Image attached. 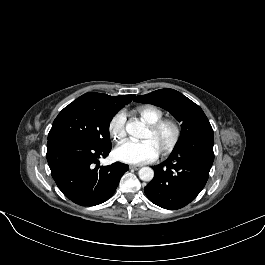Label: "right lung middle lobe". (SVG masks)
Listing matches in <instances>:
<instances>
[{"label":"right lung middle lobe","mask_w":265,"mask_h":265,"mask_svg":"<svg viewBox=\"0 0 265 265\" xmlns=\"http://www.w3.org/2000/svg\"><path fill=\"white\" fill-rule=\"evenodd\" d=\"M114 115L89 105L71 103L54 120L48 139L76 137L96 147H110L109 123Z\"/></svg>","instance_id":"1"}]
</instances>
